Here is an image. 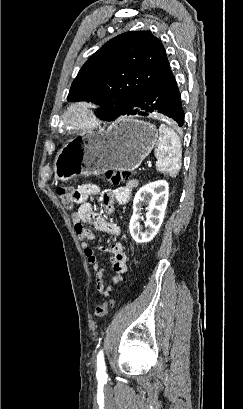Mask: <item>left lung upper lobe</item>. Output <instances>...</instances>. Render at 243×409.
<instances>
[{"instance_id":"5c2ea615","label":"left lung upper lobe","mask_w":243,"mask_h":409,"mask_svg":"<svg viewBox=\"0 0 243 409\" xmlns=\"http://www.w3.org/2000/svg\"><path fill=\"white\" fill-rule=\"evenodd\" d=\"M170 71L166 51L157 37L148 31L123 33L86 61L67 99L95 102L102 108L103 119L113 117Z\"/></svg>"}]
</instances>
